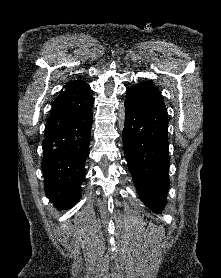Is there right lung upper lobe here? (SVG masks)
Masks as SVG:
<instances>
[{"label": "right lung upper lobe", "instance_id": "right-lung-upper-lobe-1", "mask_svg": "<svg viewBox=\"0 0 221 278\" xmlns=\"http://www.w3.org/2000/svg\"><path fill=\"white\" fill-rule=\"evenodd\" d=\"M93 104L91 89L83 81H71L56 98L48 118L45 136L84 115Z\"/></svg>", "mask_w": 221, "mask_h": 278}]
</instances>
